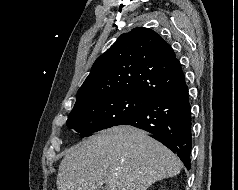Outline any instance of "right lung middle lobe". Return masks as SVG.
Returning a JSON list of instances; mask_svg holds the SVG:
<instances>
[{
	"mask_svg": "<svg viewBox=\"0 0 238 190\" xmlns=\"http://www.w3.org/2000/svg\"><path fill=\"white\" fill-rule=\"evenodd\" d=\"M152 100L133 94L100 96L76 104L71 111L67 127L82 137L117 125L125 118L145 108Z\"/></svg>",
	"mask_w": 238,
	"mask_h": 190,
	"instance_id": "1",
	"label": "right lung middle lobe"
}]
</instances>
